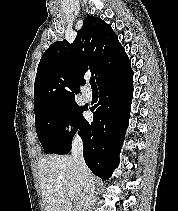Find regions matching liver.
Listing matches in <instances>:
<instances>
[{"instance_id":"1","label":"liver","mask_w":178,"mask_h":211,"mask_svg":"<svg viewBox=\"0 0 178 211\" xmlns=\"http://www.w3.org/2000/svg\"><path fill=\"white\" fill-rule=\"evenodd\" d=\"M38 171L45 211H73L69 193L74 196L76 209H81L84 186L72 156L43 157L38 161Z\"/></svg>"}]
</instances>
